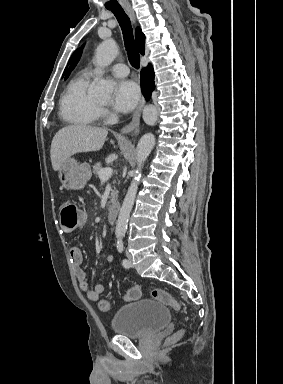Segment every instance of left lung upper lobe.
Instances as JSON below:
<instances>
[{
    "label": "left lung upper lobe",
    "instance_id": "obj_1",
    "mask_svg": "<svg viewBox=\"0 0 283 384\" xmlns=\"http://www.w3.org/2000/svg\"><path fill=\"white\" fill-rule=\"evenodd\" d=\"M77 52H78V50L75 51L74 54L71 56V58H70V60H69V63L71 62V60L73 59V57L76 55Z\"/></svg>",
    "mask_w": 283,
    "mask_h": 384
}]
</instances>
